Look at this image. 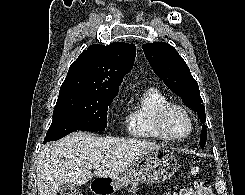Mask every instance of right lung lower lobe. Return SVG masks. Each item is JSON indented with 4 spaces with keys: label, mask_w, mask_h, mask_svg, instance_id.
Here are the masks:
<instances>
[{
    "label": "right lung lower lobe",
    "mask_w": 245,
    "mask_h": 195,
    "mask_svg": "<svg viewBox=\"0 0 245 195\" xmlns=\"http://www.w3.org/2000/svg\"><path fill=\"white\" fill-rule=\"evenodd\" d=\"M103 130H105V128L94 127V128L83 129L82 131H103Z\"/></svg>",
    "instance_id": "obj_1"
}]
</instances>
